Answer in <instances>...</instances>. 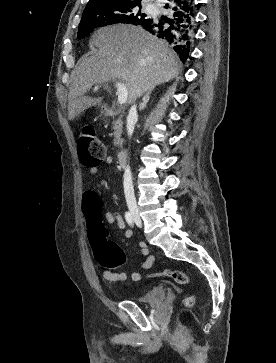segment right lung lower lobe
Segmentation results:
<instances>
[{
	"label": "right lung lower lobe",
	"mask_w": 276,
	"mask_h": 363,
	"mask_svg": "<svg viewBox=\"0 0 276 363\" xmlns=\"http://www.w3.org/2000/svg\"><path fill=\"white\" fill-rule=\"evenodd\" d=\"M165 5L171 11L168 17L157 22H145L142 27L166 40L185 61L190 53V44L194 32V0H168Z\"/></svg>",
	"instance_id": "1"
}]
</instances>
